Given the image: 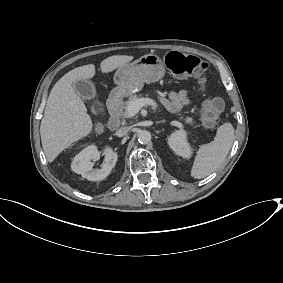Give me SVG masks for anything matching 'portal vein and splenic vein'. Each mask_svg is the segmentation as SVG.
<instances>
[{
  "label": "portal vein and splenic vein",
  "instance_id": "18ae733b",
  "mask_svg": "<svg viewBox=\"0 0 283 283\" xmlns=\"http://www.w3.org/2000/svg\"><path fill=\"white\" fill-rule=\"evenodd\" d=\"M145 105H151L153 108L158 107V104L153 99L139 98L135 101L130 102V104L128 105V107H127L128 117H133ZM177 123H179V122H177Z\"/></svg>",
  "mask_w": 283,
  "mask_h": 283
}]
</instances>
